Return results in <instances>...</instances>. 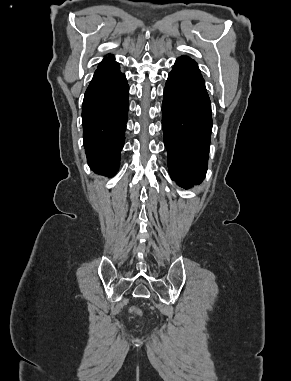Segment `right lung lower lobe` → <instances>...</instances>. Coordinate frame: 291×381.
I'll return each instance as SVG.
<instances>
[{
    "label": "right lung lower lobe",
    "mask_w": 291,
    "mask_h": 381,
    "mask_svg": "<svg viewBox=\"0 0 291 381\" xmlns=\"http://www.w3.org/2000/svg\"><path fill=\"white\" fill-rule=\"evenodd\" d=\"M129 87L112 55L99 64L85 92L82 109L88 164L112 177L118 170L125 140Z\"/></svg>",
    "instance_id": "1"
}]
</instances>
